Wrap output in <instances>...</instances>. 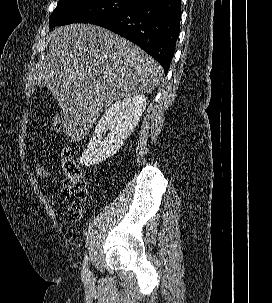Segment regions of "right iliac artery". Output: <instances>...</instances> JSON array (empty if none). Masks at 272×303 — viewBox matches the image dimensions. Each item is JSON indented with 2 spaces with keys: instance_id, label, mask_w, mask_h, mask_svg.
<instances>
[{
  "instance_id": "right-iliac-artery-1",
  "label": "right iliac artery",
  "mask_w": 272,
  "mask_h": 303,
  "mask_svg": "<svg viewBox=\"0 0 272 303\" xmlns=\"http://www.w3.org/2000/svg\"><path fill=\"white\" fill-rule=\"evenodd\" d=\"M82 274L85 276L88 274V256L87 254L84 255L83 265H82Z\"/></svg>"
}]
</instances>
